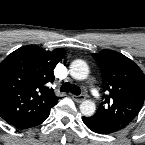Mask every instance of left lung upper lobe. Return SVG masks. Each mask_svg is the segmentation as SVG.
<instances>
[{"instance_id":"left-lung-upper-lobe-1","label":"left lung upper lobe","mask_w":145,"mask_h":145,"mask_svg":"<svg viewBox=\"0 0 145 145\" xmlns=\"http://www.w3.org/2000/svg\"><path fill=\"white\" fill-rule=\"evenodd\" d=\"M102 75L103 95L97 112L90 118L117 132L139 113L145 100V75L129 58L112 50L92 54Z\"/></svg>"}]
</instances>
